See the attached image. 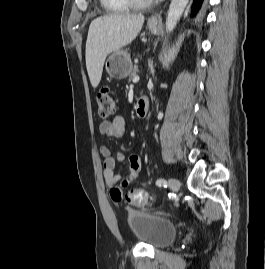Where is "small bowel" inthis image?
Listing matches in <instances>:
<instances>
[{"label":"small bowel","mask_w":265,"mask_h":269,"mask_svg":"<svg viewBox=\"0 0 265 269\" xmlns=\"http://www.w3.org/2000/svg\"><path fill=\"white\" fill-rule=\"evenodd\" d=\"M99 131L104 136L119 138L122 137L126 131V122L122 117L117 116L111 121L106 120L101 122ZM99 151L104 157V179L110 187L118 186L121 181L122 185H128L137 180L141 169V159L137 154H133L129 157V172L122 180L121 176L117 173V166L119 162L123 160V154H112L110 148L105 145L101 146ZM113 200L118 202L121 199L113 198Z\"/></svg>","instance_id":"small-bowel-1"}]
</instances>
